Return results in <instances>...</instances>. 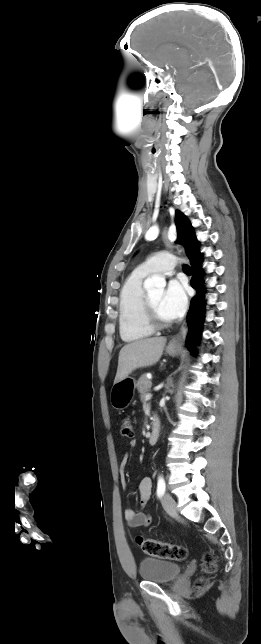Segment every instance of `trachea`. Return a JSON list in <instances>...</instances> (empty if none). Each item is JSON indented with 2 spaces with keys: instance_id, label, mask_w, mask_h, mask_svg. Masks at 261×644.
Wrapping results in <instances>:
<instances>
[{
  "instance_id": "3493384b",
  "label": "trachea",
  "mask_w": 261,
  "mask_h": 644,
  "mask_svg": "<svg viewBox=\"0 0 261 644\" xmlns=\"http://www.w3.org/2000/svg\"><path fill=\"white\" fill-rule=\"evenodd\" d=\"M183 270H184L185 272H191V268H190V266H188V265H184V266H183Z\"/></svg>"
}]
</instances>
